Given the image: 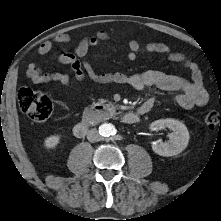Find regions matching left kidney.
I'll return each instance as SVG.
<instances>
[{
    "label": "left kidney",
    "mask_w": 221,
    "mask_h": 221,
    "mask_svg": "<svg viewBox=\"0 0 221 221\" xmlns=\"http://www.w3.org/2000/svg\"><path fill=\"white\" fill-rule=\"evenodd\" d=\"M168 128L172 131L168 143L153 142L152 149L160 156L169 157L181 153L188 145L190 136L187 127L178 120L160 119L151 124L152 130Z\"/></svg>",
    "instance_id": "1"
}]
</instances>
